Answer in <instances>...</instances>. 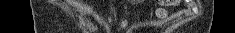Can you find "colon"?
Returning <instances> with one entry per match:
<instances>
[{
  "label": "colon",
  "instance_id": "colon-1",
  "mask_svg": "<svg viewBox=\"0 0 235 33\" xmlns=\"http://www.w3.org/2000/svg\"><path fill=\"white\" fill-rule=\"evenodd\" d=\"M177 2H178L177 0H164L161 1V4L163 6H171L177 4ZM157 15L158 17L163 18L167 15V10L164 7H161L157 10Z\"/></svg>",
  "mask_w": 235,
  "mask_h": 33
}]
</instances>
